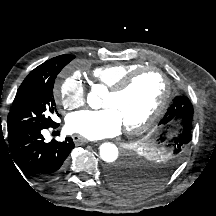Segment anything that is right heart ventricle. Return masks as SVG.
<instances>
[{
	"instance_id": "right-heart-ventricle-1",
	"label": "right heart ventricle",
	"mask_w": 216,
	"mask_h": 216,
	"mask_svg": "<svg viewBox=\"0 0 216 216\" xmlns=\"http://www.w3.org/2000/svg\"><path fill=\"white\" fill-rule=\"evenodd\" d=\"M137 63L116 62L96 67L92 71L93 79L107 88L115 86L127 74L141 68Z\"/></svg>"
}]
</instances>
